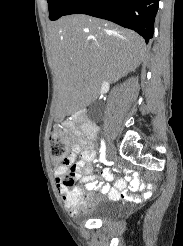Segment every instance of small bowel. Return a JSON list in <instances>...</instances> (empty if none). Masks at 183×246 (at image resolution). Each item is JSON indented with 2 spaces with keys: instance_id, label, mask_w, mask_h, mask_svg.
<instances>
[{
  "instance_id": "c3829d8e",
  "label": "small bowel",
  "mask_w": 183,
  "mask_h": 246,
  "mask_svg": "<svg viewBox=\"0 0 183 246\" xmlns=\"http://www.w3.org/2000/svg\"><path fill=\"white\" fill-rule=\"evenodd\" d=\"M77 154H80L81 159L76 161ZM96 157V152L93 146V138H89L88 141H84L81 144H73L71 146V152L68 156L67 166H58L54 169V175L56 178L57 190L64 202L65 207L70 211L72 215H77L80 212L87 210L94 202V195L84 193L80 189L70 190L71 185L65 183V178H75L85 184L88 190L98 191L102 194H106L111 200H119L125 198L128 200L137 199L133 192L127 191L126 181L124 179H132L131 184L127 185L128 189L136 191L138 189H147L148 185L144 184L140 180V174H135V169H130V165H118V169H114V174H123V179L119 178L116 181L115 187L110 188L108 185L99 184L96 185V175L94 174L92 162ZM73 172V173H69ZM102 176L105 179H111L114 175L108 168L102 170ZM143 198H150V193H143ZM80 198L84 202V206L80 209L73 208L71 203Z\"/></svg>"
}]
</instances>
